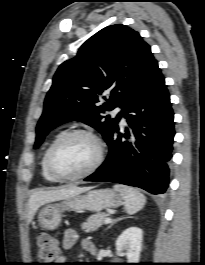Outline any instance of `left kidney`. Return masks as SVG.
Listing matches in <instances>:
<instances>
[{"mask_svg":"<svg viewBox=\"0 0 205 265\" xmlns=\"http://www.w3.org/2000/svg\"><path fill=\"white\" fill-rule=\"evenodd\" d=\"M143 231L138 227L127 228L116 240V249L123 253L128 263H138L142 248Z\"/></svg>","mask_w":205,"mask_h":265,"instance_id":"left-kidney-1","label":"left kidney"}]
</instances>
